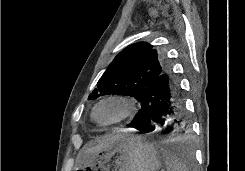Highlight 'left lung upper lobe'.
I'll list each match as a JSON object with an SVG mask.
<instances>
[{
	"label": "left lung upper lobe",
	"instance_id": "left-lung-upper-lobe-1",
	"mask_svg": "<svg viewBox=\"0 0 245 171\" xmlns=\"http://www.w3.org/2000/svg\"><path fill=\"white\" fill-rule=\"evenodd\" d=\"M165 70L164 60L151 44H132L115 57L88 99L122 94L140 101L145 88Z\"/></svg>",
	"mask_w": 245,
	"mask_h": 171
}]
</instances>
